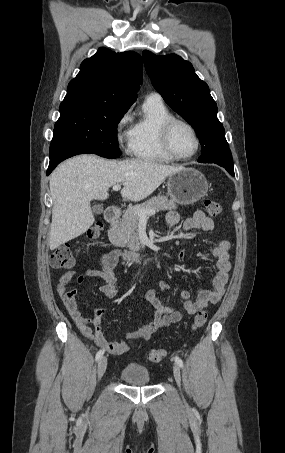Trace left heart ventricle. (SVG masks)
I'll return each mask as SVG.
<instances>
[{"mask_svg": "<svg viewBox=\"0 0 285 453\" xmlns=\"http://www.w3.org/2000/svg\"><path fill=\"white\" fill-rule=\"evenodd\" d=\"M171 143L174 150L180 155H189L195 149V139L191 131L184 125L178 124L174 127Z\"/></svg>", "mask_w": 285, "mask_h": 453, "instance_id": "left-heart-ventricle-1", "label": "left heart ventricle"}]
</instances>
